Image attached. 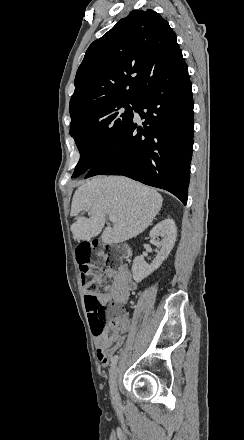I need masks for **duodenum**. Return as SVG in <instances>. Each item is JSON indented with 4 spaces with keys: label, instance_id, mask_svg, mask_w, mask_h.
I'll return each mask as SVG.
<instances>
[{
    "label": "duodenum",
    "instance_id": "1",
    "mask_svg": "<svg viewBox=\"0 0 244 440\" xmlns=\"http://www.w3.org/2000/svg\"><path fill=\"white\" fill-rule=\"evenodd\" d=\"M123 253L124 255L128 256L130 254V251L128 248H124Z\"/></svg>",
    "mask_w": 244,
    "mask_h": 440
}]
</instances>
